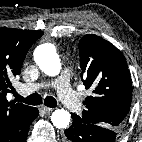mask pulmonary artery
Instances as JSON below:
<instances>
[{
  "instance_id": "1",
  "label": "pulmonary artery",
  "mask_w": 142,
  "mask_h": 142,
  "mask_svg": "<svg viewBox=\"0 0 142 142\" xmlns=\"http://www.w3.org/2000/svg\"><path fill=\"white\" fill-rule=\"evenodd\" d=\"M54 86L60 95L62 102L71 112H78L81 109V101L78 99L74 91L70 87V76L68 72L63 73L54 82ZM39 88L37 84H29L21 86L22 92H33Z\"/></svg>"
}]
</instances>
